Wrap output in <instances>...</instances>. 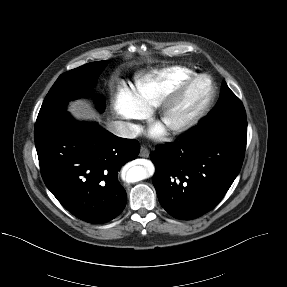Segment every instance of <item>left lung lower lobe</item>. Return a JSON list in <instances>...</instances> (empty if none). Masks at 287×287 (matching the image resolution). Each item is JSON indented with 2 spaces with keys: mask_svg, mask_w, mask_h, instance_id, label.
Returning <instances> with one entry per match:
<instances>
[{
  "mask_svg": "<svg viewBox=\"0 0 287 287\" xmlns=\"http://www.w3.org/2000/svg\"><path fill=\"white\" fill-rule=\"evenodd\" d=\"M246 138L195 126L150 154L158 199L173 217L197 218L213 209L240 172Z\"/></svg>",
  "mask_w": 287,
  "mask_h": 287,
  "instance_id": "obj_1",
  "label": "left lung lower lobe"
}]
</instances>
